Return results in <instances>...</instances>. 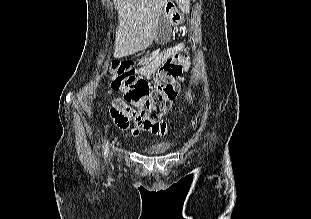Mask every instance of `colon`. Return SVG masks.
Segmentation results:
<instances>
[{
    "instance_id": "5ec220e1",
    "label": "colon",
    "mask_w": 311,
    "mask_h": 219,
    "mask_svg": "<svg viewBox=\"0 0 311 219\" xmlns=\"http://www.w3.org/2000/svg\"><path fill=\"white\" fill-rule=\"evenodd\" d=\"M190 68V59L173 55L158 68L152 79L137 76L130 60H113L107 65L112 89L124 94L125 104L139 107L140 115L155 122L167 111L184 83L183 73ZM151 85L154 90L151 92Z\"/></svg>"
}]
</instances>
